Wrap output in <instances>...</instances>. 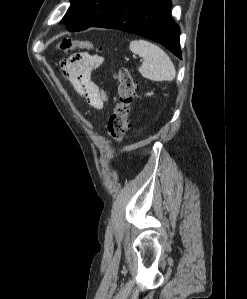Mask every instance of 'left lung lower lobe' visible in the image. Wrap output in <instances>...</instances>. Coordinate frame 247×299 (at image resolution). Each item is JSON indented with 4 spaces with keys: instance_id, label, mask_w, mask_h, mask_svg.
<instances>
[{
    "instance_id": "left-lung-lower-lobe-1",
    "label": "left lung lower lobe",
    "mask_w": 247,
    "mask_h": 299,
    "mask_svg": "<svg viewBox=\"0 0 247 299\" xmlns=\"http://www.w3.org/2000/svg\"><path fill=\"white\" fill-rule=\"evenodd\" d=\"M170 0H123L91 27L118 29L154 40L182 58Z\"/></svg>"
}]
</instances>
